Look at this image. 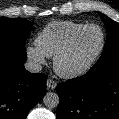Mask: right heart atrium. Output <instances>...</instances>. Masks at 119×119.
<instances>
[{
	"label": "right heart atrium",
	"instance_id": "right-heart-atrium-1",
	"mask_svg": "<svg viewBox=\"0 0 119 119\" xmlns=\"http://www.w3.org/2000/svg\"><path fill=\"white\" fill-rule=\"evenodd\" d=\"M28 57L36 64L45 63V55L37 48V46H28L27 49Z\"/></svg>",
	"mask_w": 119,
	"mask_h": 119
}]
</instances>
